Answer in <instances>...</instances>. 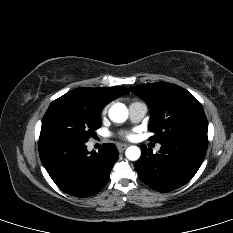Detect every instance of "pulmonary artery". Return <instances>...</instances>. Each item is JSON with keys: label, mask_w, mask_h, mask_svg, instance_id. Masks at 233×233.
I'll list each match as a JSON object with an SVG mask.
<instances>
[{"label": "pulmonary artery", "mask_w": 233, "mask_h": 233, "mask_svg": "<svg viewBox=\"0 0 233 233\" xmlns=\"http://www.w3.org/2000/svg\"><path fill=\"white\" fill-rule=\"evenodd\" d=\"M147 107L142 102H133L129 105V114L132 122L137 123L140 122L144 116L146 115ZM159 149L160 146L158 145Z\"/></svg>", "instance_id": "e3ab8cb5"}]
</instances>
